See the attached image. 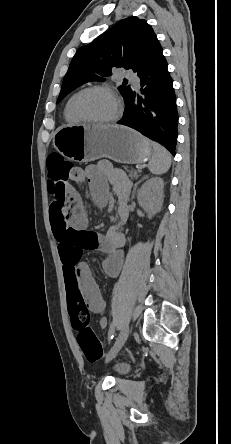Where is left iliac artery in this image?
<instances>
[{
	"label": "left iliac artery",
	"instance_id": "obj_1",
	"mask_svg": "<svg viewBox=\"0 0 231 444\" xmlns=\"http://www.w3.org/2000/svg\"><path fill=\"white\" fill-rule=\"evenodd\" d=\"M114 334H115V324L114 322L111 324L110 326V330H109V335H108V339L109 341L112 340L114 338Z\"/></svg>",
	"mask_w": 231,
	"mask_h": 444
}]
</instances>
